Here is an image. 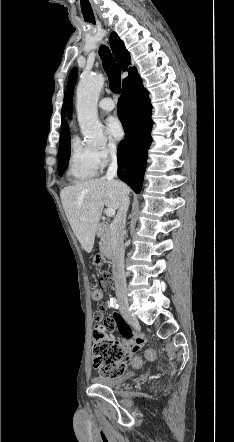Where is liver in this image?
I'll return each mask as SVG.
<instances>
[{
  "label": "liver",
  "instance_id": "liver-1",
  "mask_svg": "<svg viewBox=\"0 0 234 442\" xmlns=\"http://www.w3.org/2000/svg\"><path fill=\"white\" fill-rule=\"evenodd\" d=\"M129 187L105 178L76 182L60 192L61 202L71 228L82 248L92 251L104 206L119 209Z\"/></svg>",
  "mask_w": 234,
  "mask_h": 442
}]
</instances>
